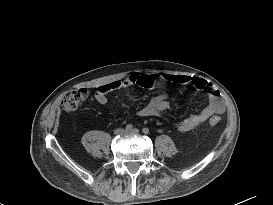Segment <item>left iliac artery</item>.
Listing matches in <instances>:
<instances>
[{"label": "left iliac artery", "instance_id": "obj_1", "mask_svg": "<svg viewBox=\"0 0 273 205\" xmlns=\"http://www.w3.org/2000/svg\"><path fill=\"white\" fill-rule=\"evenodd\" d=\"M142 131H143V133H144V134H148V133H149V129H148V128H146V127H145V128H143V130H142Z\"/></svg>", "mask_w": 273, "mask_h": 205}]
</instances>
